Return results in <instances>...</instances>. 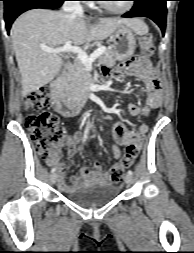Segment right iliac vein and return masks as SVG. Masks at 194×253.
Returning a JSON list of instances; mask_svg holds the SVG:
<instances>
[{
	"label": "right iliac vein",
	"mask_w": 194,
	"mask_h": 253,
	"mask_svg": "<svg viewBox=\"0 0 194 253\" xmlns=\"http://www.w3.org/2000/svg\"><path fill=\"white\" fill-rule=\"evenodd\" d=\"M50 180L53 184L56 183L57 181V174L56 173H53L51 176H50Z\"/></svg>",
	"instance_id": "1"
}]
</instances>
